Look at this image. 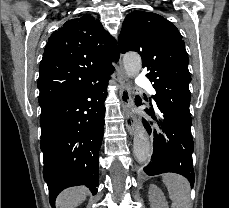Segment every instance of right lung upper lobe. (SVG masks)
Here are the masks:
<instances>
[{
    "mask_svg": "<svg viewBox=\"0 0 229 208\" xmlns=\"http://www.w3.org/2000/svg\"><path fill=\"white\" fill-rule=\"evenodd\" d=\"M119 59L114 38L98 19L83 15L64 23L45 47L39 66V104H56L99 81Z\"/></svg>",
    "mask_w": 229,
    "mask_h": 208,
    "instance_id": "obj_1",
    "label": "right lung upper lobe"
}]
</instances>
